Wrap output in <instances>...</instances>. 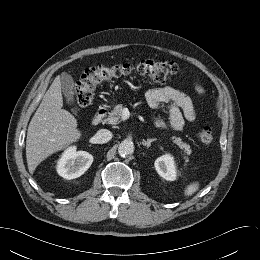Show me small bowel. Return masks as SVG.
I'll use <instances>...</instances> for the list:
<instances>
[{"label":"small bowel","mask_w":260,"mask_h":260,"mask_svg":"<svg viewBox=\"0 0 260 260\" xmlns=\"http://www.w3.org/2000/svg\"><path fill=\"white\" fill-rule=\"evenodd\" d=\"M194 90L201 96L205 93L204 88L198 83L194 84ZM146 100L153 108L166 106L169 112L168 123L157 121V127H170L172 130L179 131L185 121L193 122L195 120V109L190 97L179 89L170 86L154 88L147 92Z\"/></svg>","instance_id":"c3829d8e"}]
</instances>
